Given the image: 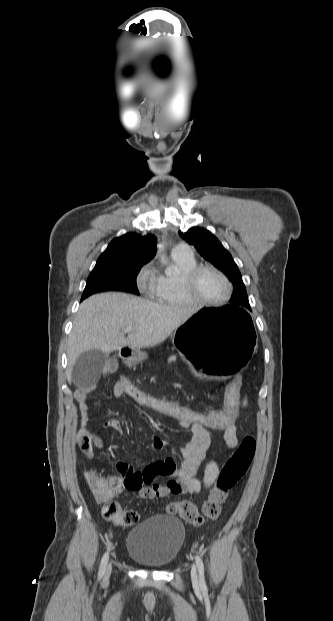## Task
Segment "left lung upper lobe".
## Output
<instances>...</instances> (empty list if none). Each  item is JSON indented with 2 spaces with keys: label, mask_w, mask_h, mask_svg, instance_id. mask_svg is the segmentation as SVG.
<instances>
[{
  "label": "left lung upper lobe",
  "mask_w": 333,
  "mask_h": 621,
  "mask_svg": "<svg viewBox=\"0 0 333 621\" xmlns=\"http://www.w3.org/2000/svg\"><path fill=\"white\" fill-rule=\"evenodd\" d=\"M179 234L189 244L193 245L201 256L227 274L233 281L234 293L230 299L231 306L242 310H251L240 271L230 253L219 240L211 232L198 227H193L184 233L179 232Z\"/></svg>",
  "instance_id": "left-lung-upper-lobe-1"
}]
</instances>
